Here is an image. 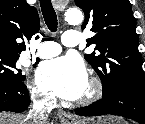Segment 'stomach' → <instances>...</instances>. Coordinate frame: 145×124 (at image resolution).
Instances as JSON below:
<instances>
[{
  "label": "stomach",
  "instance_id": "obj_1",
  "mask_svg": "<svg viewBox=\"0 0 145 124\" xmlns=\"http://www.w3.org/2000/svg\"><path fill=\"white\" fill-rule=\"evenodd\" d=\"M121 122H122L121 119L109 116L105 118H98L96 120L92 119L77 120L69 124H123Z\"/></svg>",
  "mask_w": 145,
  "mask_h": 124
}]
</instances>
